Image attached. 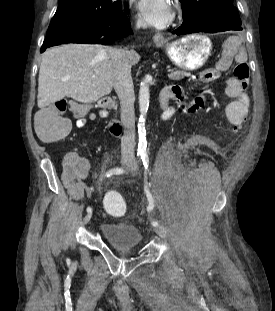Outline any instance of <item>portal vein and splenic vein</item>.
Returning a JSON list of instances; mask_svg holds the SVG:
<instances>
[{"label":"portal vein and splenic vein","instance_id":"18ae733b","mask_svg":"<svg viewBox=\"0 0 275 311\" xmlns=\"http://www.w3.org/2000/svg\"><path fill=\"white\" fill-rule=\"evenodd\" d=\"M171 71H172V69H170V68L167 70V72H171Z\"/></svg>","mask_w":275,"mask_h":311}]
</instances>
